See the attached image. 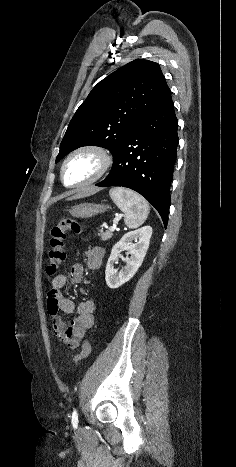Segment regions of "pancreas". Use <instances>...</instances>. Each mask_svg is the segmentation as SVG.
<instances>
[{"mask_svg": "<svg viewBox=\"0 0 236 467\" xmlns=\"http://www.w3.org/2000/svg\"><path fill=\"white\" fill-rule=\"evenodd\" d=\"M98 235L101 236V239H102L103 241H106V240L112 238L113 233H112L111 231L103 232L102 230H100L99 233H98Z\"/></svg>", "mask_w": 236, "mask_h": 467, "instance_id": "pancreas-1", "label": "pancreas"}]
</instances>
